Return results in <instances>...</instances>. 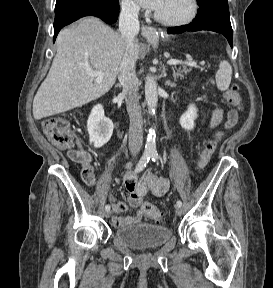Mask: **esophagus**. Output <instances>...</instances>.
Masks as SVG:
<instances>
[{
	"label": "esophagus",
	"mask_w": 273,
	"mask_h": 288,
	"mask_svg": "<svg viewBox=\"0 0 273 288\" xmlns=\"http://www.w3.org/2000/svg\"><path fill=\"white\" fill-rule=\"evenodd\" d=\"M156 34H158V31L156 28L151 27V26H147V25L142 26V35L145 38L150 39L153 36H155Z\"/></svg>",
	"instance_id": "34e87169"
}]
</instances>
